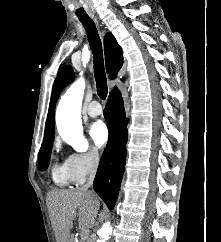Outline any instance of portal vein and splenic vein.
I'll return each instance as SVG.
<instances>
[{"label": "portal vein and splenic vein", "mask_w": 221, "mask_h": 242, "mask_svg": "<svg viewBox=\"0 0 221 242\" xmlns=\"http://www.w3.org/2000/svg\"><path fill=\"white\" fill-rule=\"evenodd\" d=\"M82 234L84 238H87L89 235V230H84Z\"/></svg>", "instance_id": "18ae733b"}]
</instances>
